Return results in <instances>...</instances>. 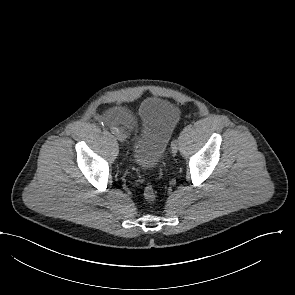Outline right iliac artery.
I'll list each match as a JSON object with an SVG mask.
<instances>
[{
	"label": "right iliac artery",
	"instance_id": "1",
	"mask_svg": "<svg viewBox=\"0 0 295 295\" xmlns=\"http://www.w3.org/2000/svg\"><path fill=\"white\" fill-rule=\"evenodd\" d=\"M111 132H112L113 134H116V133L119 132V130H118V128L113 127V128H111Z\"/></svg>",
	"mask_w": 295,
	"mask_h": 295
}]
</instances>
